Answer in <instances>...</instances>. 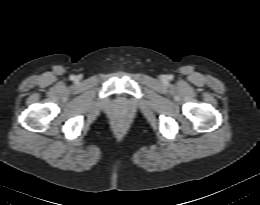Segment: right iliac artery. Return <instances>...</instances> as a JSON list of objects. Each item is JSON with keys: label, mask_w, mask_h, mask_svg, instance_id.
Wrapping results in <instances>:
<instances>
[{"label": "right iliac artery", "mask_w": 260, "mask_h": 205, "mask_svg": "<svg viewBox=\"0 0 260 205\" xmlns=\"http://www.w3.org/2000/svg\"><path fill=\"white\" fill-rule=\"evenodd\" d=\"M70 79H71V80H75V76H74V75H71V76H70Z\"/></svg>", "instance_id": "right-iliac-artery-1"}]
</instances>
